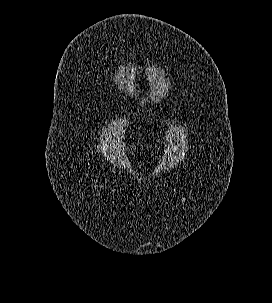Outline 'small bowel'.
Wrapping results in <instances>:
<instances>
[{"label": "small bowel", "mask_w": 272, "mask_h": 303, "mask_svg": "<svg viewBox=\"0 0 272 303\" xmlns=\"http://www.w3.org/2000/svg\"><path fill=\"white\" fill-rule=\"evenodd\" d=\"M138 152V149L135 146H130L125 149V154L127 156L134 155Z\"/></svg>", "instance_id": "obj_1"}]
</instances>
